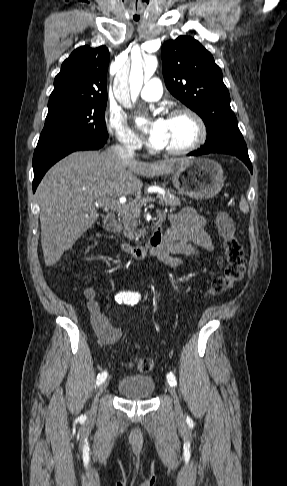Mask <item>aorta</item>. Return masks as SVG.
I'll list each match as a JSON object with an SVG mask.
<instances>
[{"instance_id":"aorta-1","label":"aorta","mask_w":287,"mask_h":486,"mask_svg":"<svg viewBox=\"0 0 287 486\" xmlns=\"http://www.w3.org/2000/svg\"><path fill=\"white\" fill-rule=\"evenodd\" d=\"M157 65V59L150 57L144 65V71L140 61H133L129 76L126 72L119 73L116 76L113 87L117 100L128 107L130 96L132 99H136L142 89L144 79L150 78L155 73Z\"/></svg>"}]
</instances>
